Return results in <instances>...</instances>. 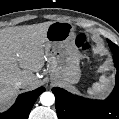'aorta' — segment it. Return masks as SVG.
Here are the masks:
<instances>
[{"label":"aorta","instance_id":"762f6f07","mask_svg":"<svg viewBox=\"0 0 119 119\" xmlns=\"http://www.w3.org/2000/svg\"><path fill=\"white\" fill-rule=\"evenodd\" d=\"M40 102L44 106H51L55 102V96L52 92H44L40 96Z\"/></svg>","mask_w":119,"mask_h":119}]
</instances>
